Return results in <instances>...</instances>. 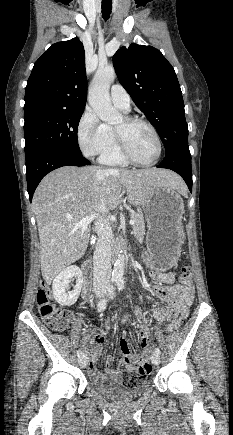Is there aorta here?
Returning a JSON list of instances; mask_svg holds the SVG:
<instances>
[{
    "label": "aorta",
    "instance_id": "aorta-1",
    "mask_svg": "<svg viewBox=\"0 0 233 435\" xmlns=\"http://www.w3.org/2000/svg\"><path fill=\"white\" fill-rule=\"evenodd\" d=\"M115 70L112 66L98 68L89 87L88 102L97 116L104 122L116 124L122 121V114L111 104L109 89L115 79ZM125 254L120 251L112 272L115 281L123 279Z\"/></svg>",
    "mask_w": 233,
    "mask_h": 435
}]
</instances>
